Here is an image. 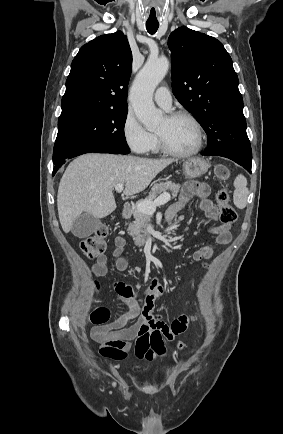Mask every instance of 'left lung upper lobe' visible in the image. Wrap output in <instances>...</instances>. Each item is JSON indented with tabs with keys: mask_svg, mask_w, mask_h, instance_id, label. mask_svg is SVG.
Returning <instances> with one entry per match:
<instances>
[{
	"mask_svg": "<svg viewBox=\"0 0 283 434\" xmlns=\"http://www.w3.org/2000/svg\"><path fill=\"white\" fill-rule=\"evenodd\" d=\"M168 47L173 93L207 133L205 152L236 163L252 160L238 76L223 44L180 27L169 36Z\"/></svg>",
	"mask_w": 283,
	"mask_h": 434,
	"instance_id": "left-lung-upper-lobe-1",
	"label": "left lung upper lobe"
}]
</instances>
